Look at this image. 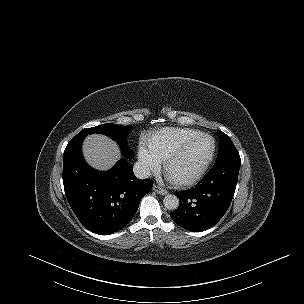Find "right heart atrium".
I'll return each mask as SVG.
<instances>
[{
  "label": "right heart atrium",
  "mask_w": 304,
  "mask_h": 304,
  "mask_svg": "<svg viewBox=\"0 0 304 304\" xmlns=\"http://www.w3.org/2000/svg\"><path fill=\"white\" fill-rule=\"evenodd\" d=\"M138 160L145 173L155 172L161 165V158L146 142H141L138 146Z\"/></svg>",
  "instance_id": "1"
}]
</instances>
